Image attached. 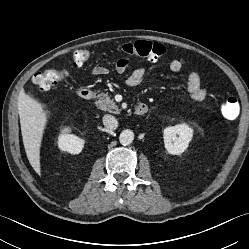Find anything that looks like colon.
Masks as SVG:
<instances>
[{
    "label": "colon",
    "mask_w": 249,
    "mask_h": 249,
    "mask_svg": "<svg viewBox=\"0 0 249 249\" xmlns=\"http://www.w3.org/2000/svg\"><path fill=\"white\" fill-rule=\"evenodd\" d=\"M119 52L129 55L145 58L150 61L161 59L165 53V48L159 43H154L146 40H138L121 45ZM91 57L89 51L78 49L72 55V63L79 67L86 63ZM67 76L66 70L57 67L45 69L34 75L33 81L42 91H48L62 82ZM237 100L234 98L225 99L221 104V111L226 119H232L238 110Z\"/></svg>",
    "instance_id": "obj_1"
}]
</instances>
